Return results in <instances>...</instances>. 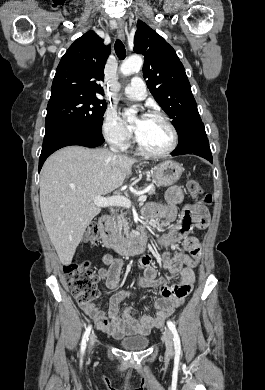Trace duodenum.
I'll use <instances>...</instances> for the list:
<instances>
[{
  "instance_id": "duodenum-1",
  "label": "duodenum",
  "mask_w": 265,
  "mask_h": 390,
  "mask_svg": "<svg viewBox=\"0 0 265 390\" xmlns=\"http://www.w3.org/2000/svg\"><path fill=\"white\" fill-rule=\"evenodd\" d=\"M99 229L103 246L117 251L121 255H129L143 250L146 244V230L143 227L129 239L119 237L111 227V218L104 215L99 220Z\"/></svg>"
}]
</instances>
